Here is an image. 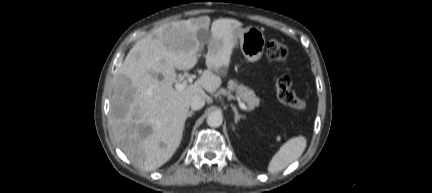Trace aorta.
Instances as JSON below:
<instances>
[{
    "mask_svg": "<svg viewBox=\"0 0 432 193\" xmlns=\"http://www.w3.org/2000/svg\"><path fill=\"white\" fill-rule=\"evenodd\" d=\"M207 124L210 127H219L223 123V116L219 112H212L207 116Z\"/></svg>",
    "mask_w": 432,
    "mask_h": 193,
    "instance_id": "1",
    "label": "aorta"
}]
</instances>
